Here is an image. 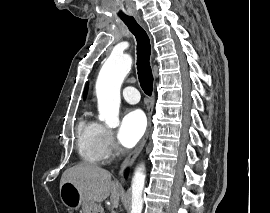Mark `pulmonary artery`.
I'll list each match as a JSON object with an SVG mask.
<instances>
[{
	"mask_svg": "<svg viewBox=\"0 0 270 213\" xmlns=\"http://www.w3.org/2000/svg\"><path fill=\"white\" fill-rule=\"evenodd\" d=\"M124 99L131 104H136L140 100L139 91L134 87H126L122 91Z\"/></svg>",
	"mask_w": 270,
	"mask_h": 213,
	"instance_id": "1",
	"label": "pulmonary artery"
}]
</instances>
